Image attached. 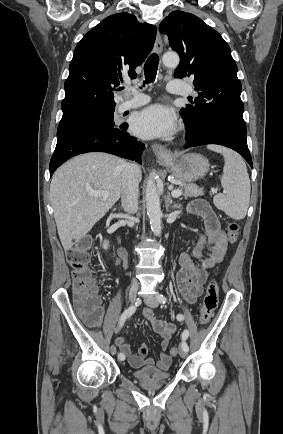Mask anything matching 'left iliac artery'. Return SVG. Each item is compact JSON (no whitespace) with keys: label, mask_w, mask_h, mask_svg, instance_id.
<instances>
[{"label":"left iliac artery","mask_w":283,"mask_h":434,"mask_svg":"<svg viewBox=\"0 0 283 434\" xmlns=\"http://www.w3.org/2000/svg\"><path fill=\"white\" fill-rule=\"evenodd\" d=\"M157 300L160 302V303H166V301H167V299H166V297L164 296V295H162V294H158L157 296ZM177 320H179V321H182V320H184V316L182 315V314H178L177 315ZM182 343H181V348H182V350H184V351H187L188 352V350H189V347H188V345H187V343H186V339L188 338V336H189V331L188 330H184L183 332H182Z\"/></svg>","instance_id":"44dca946"}]
</instances>
